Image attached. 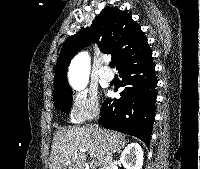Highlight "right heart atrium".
<instances>
[{
  "label": "right heart atrium",
  "mask_w": 200,
  "mask_h": 169,
  "mask_svg": "<svg viewBox=\"0 0 200 169\" xmlns=\"http://www.w3.org/2000/svg\"><path fill=\"white\" fill-rule=\"evenodd\" d=\"M99 97L92 91H80L73 95L69 108V119L74 124H83L99 115Z\"/></svg>",
  "instance_id": "d8ad5b80"
}]
</instances>
